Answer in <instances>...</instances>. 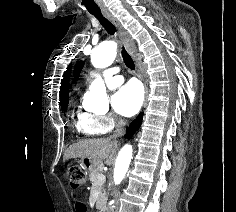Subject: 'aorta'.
<instances>
[{
  "label": "aorta",
  "instance_id": "obj_1",
  "mask_svg": "<svg viewBox=\"0 0 236 212\" xmlns=\"http://www.w3.org/2000/svg\"><path fill=\"white\" fill-rule=\"evenodd\" d=\"M117 54V45L113 41L101 43L91 54V63L96 68L108 67L113 63ZM87 106L95 110L100 106L109 103L106 87L101 78L95 79L89 86V91L85 94ZM133 148L126 144L119 152L114 168V183L120 184L124 179L132 158Z\"/></svg>",
  "mask_w": 236,
  "mask_h": 212
}]
</instances>
